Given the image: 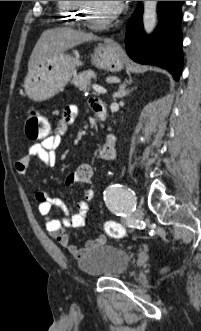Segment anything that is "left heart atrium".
Wrapping results in <instances>:
<instances>
[{
	"label": "left heart atrium",
	"instance_id": "left-heart-atrium-1",
	"mask_svg": "<svg viewBox=\"0 0 201 331\" xmlns=\"http://www.w3.org/2000/svg\"><path fill=\"white\" fill-rule=\"evenodd\" d=\"M118 4L121 2V1H116Z\"/></svg>",
	"mask_w": 201,
	"mask_h": 331
}]
</instances>
